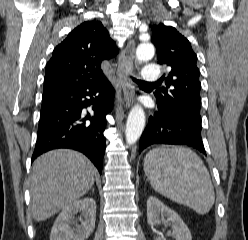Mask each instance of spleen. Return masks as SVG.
I'll use <instances>...</instances> for the list:
<instances>
[{
	"mask_svg": "<svg viewBox=\"0 0 248 240\" xmlns=\"http://www.w3.org/2000/svg\"><path fill=\"white\" fill-rule=\"evenodd\" d=\"M144 171L153 189L198 214L210 211L215 192L201 158L186 147H157L144 158Z\"/></svg>",
	"mask_w": 248,
	"mask_h": 240,
	"instance_id": "obj_1",
	"label": "spleen"
}]
</instances>
